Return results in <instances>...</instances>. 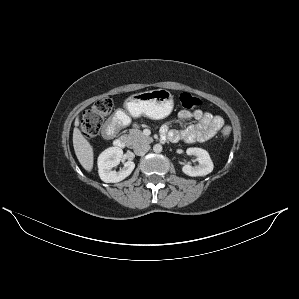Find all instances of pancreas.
I'll return each mask as SVG.
<instances>
[{
    "label": "pancreas",
    "mask_w": 299,
    "mask_h": 299,
    "mask_svg": "<svg viewBox=\"0 0 299 299\" xmlns=\"http://www.w3.org/2000/svg\"><path fill=\"white\" fill-rule=\"evenodd\" d=\"M126 137L131 146H137L142 143H151L153 141L151 137L145 136L138 128L131 129Z\"/></svg>",
    "instance_id": "1"
}]
</instances>
